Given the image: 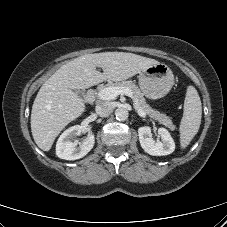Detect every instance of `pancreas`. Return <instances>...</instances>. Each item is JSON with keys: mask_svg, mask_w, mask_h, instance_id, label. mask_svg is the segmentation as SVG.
Returning a JSON list of instances; mask_svg holds the SVG:
<instances>
[{"mask_svg": "<svg viewBox=\"0 0 227 227\" xmlns=\"http://www.w3.org/2000/svg\"><path fill=\"white\" fill-rule=\"evenodd\" d=\"M106 87H126L129 88L133 94V101L141 108L149 117L157 120L159 123L168 127L170 130H174L175 126L172 123V119L165 114H162L154 109H152L143 97V93L139 87L132 81H122V82H109L106 86L99 88V91Z\"/></svg>", "mask_w": 227, "mask_h": 227, "instance_id": "pancreas-1", "label": "pancreas"}]
</instances>
